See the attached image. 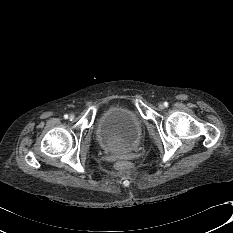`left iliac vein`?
<instances>
[{
	"label": "left iliac vein",
	"mask_w": 233,
	"mask_h": 233,
	"mask_svg": "<svg viewBox=\"0 0 233 233\" xmlns=\"http://www.w3.org/2000/svg\"><path fill=\"white\" fill-rule=\"evenodd\" d=\"M158 107H159L160 109H164L165 105H164L163 103H159V104H158Z\"/></svg>",
	"instance_id": "1"
}]
</instances>
